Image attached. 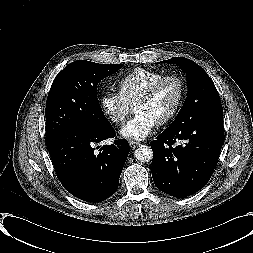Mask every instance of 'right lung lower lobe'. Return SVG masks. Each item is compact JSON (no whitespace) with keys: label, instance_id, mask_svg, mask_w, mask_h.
Masks as SVG:
<instances>
[{"label":"right lung lower lobe","instance_id":"obj_1","mask_svg":"<svg viewBox=\"0 0 253 253\" xmlns=\"http://www.w3.org/2000/svg\"><path fill=\"white\" fill-rule=\"evenodd\" d=\"M114 136L109 122L103 126L83 125L47 146L61 184L73 196L101 202L116 192L129 144L118 139L112 145H104L99 153L94 148L96 143Z\"/></svg>","mask_w":253,"mask_h":253}]
</instances>
